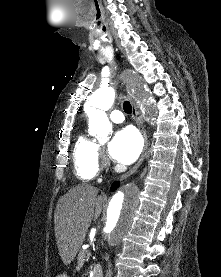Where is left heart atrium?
I'll use <instances>...</instances> for the list:
<instances>
[{
	"mask_svg": "<svg viewBox=\"0 0 221 277\" xmlns=\"http://www.w3.org/2000/svg\"><path fill=\"white\" fill-rule=\"evenodd\" d=\"M142 145L138 132L132 127H125L112 138L109 153L115 161L131 164L138 158Z\"/></svg>",
	"mask_w": 221,
	"mask_h": 277,
	"instance_id": "39dd6f15",
	"label": "left heart atrium"
}]
</instances>
